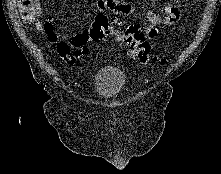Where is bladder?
<instances>
[{"label": "bladder", "mask_w": 221, "mask_h": 174, "mask_svg": "<svg viewBox=\"0 0 221 174\" xmlns=\"http://www.w3.org/2000/svg\"><path fill=\"white\" fill-rule=\"evenodd\" d=\"M126 82L127 76L121 69L105 66L96 74V92L104 99H112L123 91Z\"/></svg>", "instance_id": "obj_1"}]
</instances>
